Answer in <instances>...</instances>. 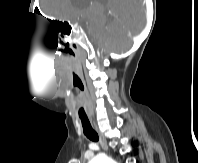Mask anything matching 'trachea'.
<instances>
[{"mask_svg":"<svg viewBox=\"0 0 198 163\" xmlns=\"http://www.w3.org/2000/svg\"><path fill=\"white\" fill-rule=\"evenodd\" d=\"M80 119L82 121V126H83L85 136L88 139H90L91 141L97 142L98 139H99L98 134L96 133V131L91 126L88 118L84 117V116H80Z\"/></svg>","mask_w":198,"mask_h":163,"instance_id":"1","label":"trachea"}]
</instances>
